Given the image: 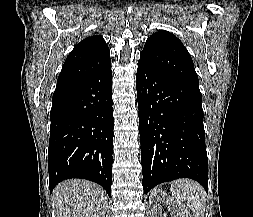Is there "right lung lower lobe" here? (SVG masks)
<instances>
[{
	"instance_id": "98d812e1",
	"label": "right lung lower lobe",
	"mask_w": 253,
	"mask_h": 217,
	"mask_svg": "<svg viewBox=\"0 0 253 217\" xmlns=\"http://www.w3.org/2000/svg\"><path fill=\"white\" fill-rule=\"evenodd\" d=\"M111 64L80 81L56 87L50 113V192L61 181L83 178L110 196L114 118Z\"/></svg>"
}]
</instances>
